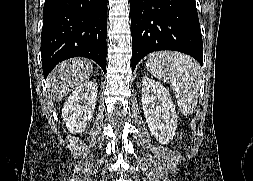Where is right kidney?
Returning <instances> with one entry per match:
<instances>
[{"mask_svg": "<svg viewBox=\"0 0 253 181\" xmlns=\"http://www.w3.org/2000/svg\"><path fill=\"white\" fill-rule=\"evenodd\" d=\"M97 84L85 81L68 97L62 109V117L71 133H82L91 120L96 105Z\"/></svg>", "mask_w": 253, "mask_h": 181, "instance_id": "1", "label": "right kidney"}]
</instances>
